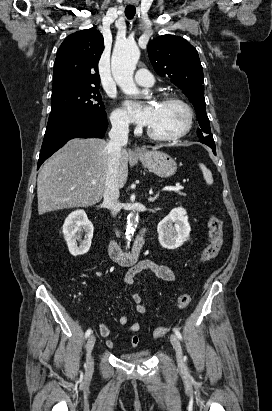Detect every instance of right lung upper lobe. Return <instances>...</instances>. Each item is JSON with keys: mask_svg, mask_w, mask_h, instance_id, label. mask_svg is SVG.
Segmentation results:
<instances>
[{"mask_svg": "<svg viewBox=\"0 0 272 411\" xmlns=\"http://www.w3.org/2000/svg\"><path fill=\"white\" fill-rule=\"evenodd\" d=\"M103 44V36L95 28L69 35L57 51L52 95L69 89L99 87L97 71Z\"/></svg>", "mask_w": 272, "mask_h": 411, "instance_id": "right-lung-upper-lobe-1", "label": "right lung upper lobe"}]
</instances>
